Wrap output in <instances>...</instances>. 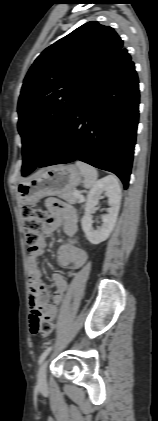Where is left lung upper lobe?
Wrapping results in <instances>:
<instances>
[{
  "instance_id": "obj_1",
  "label": "left lung upper lobe",
  "mask_w": 158,
  "mask_h": 421,
  "mask_svg": "<svg viewBox=\"0 0 158 421\" xmlns=\"http://www.w3.org/2000/svg\"><path fill=\"white\" fill-rule=\"evenodd\" d=\"M122 46L113 28L90 21L38 56L18 101L22 175L42 162L75 105Z\"/></svg>"
}]
</instances>
